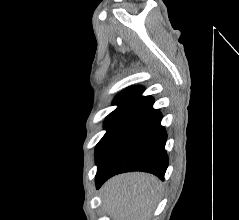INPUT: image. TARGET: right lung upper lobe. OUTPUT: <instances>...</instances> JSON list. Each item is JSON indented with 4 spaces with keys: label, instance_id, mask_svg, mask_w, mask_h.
Here are the masks:
<instances>
[{
    "label": "right lung upper lobe",
    "instance_id": "1",
    "mask_svg": "<svg viewBox=\"0 0 239 220\" xmlns=\"http://www.w3.org/2000/svg\"><path fill=\"white\" fill-rule=\"evenodd\" d=\"M143 92L144 88L141 86L129 87L118 94L113 103L114 105H118V108H132L135 104H137L145 97L142 96Z\"/></svg>",
    "mask_w": 239,
    "mask_h": 220
}]
</instances>
